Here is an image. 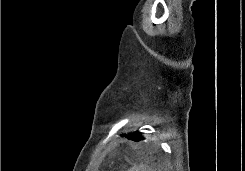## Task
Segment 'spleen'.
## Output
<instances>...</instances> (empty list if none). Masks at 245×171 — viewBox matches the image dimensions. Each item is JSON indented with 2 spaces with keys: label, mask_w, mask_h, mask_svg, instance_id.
Returning a JSON list of instances; mask_svg holds the SVG:
<instances>
[{
  "label": "spleen",
  "mask_w": 245,
  "mask_h": 171,
  "mask_svg": "<svg viewBox=\"0 0 245 171\" xmlns=\"http://www.w3.org/2000/svg\"><path fill=\"white\" fill-rule=\"evenodd\" d=\"M128 171H154L152 167L148 166L147 164H140L138 166H134L130 168Z\"/></svg>",
  "instance_id": "1"
}]
</instances>
